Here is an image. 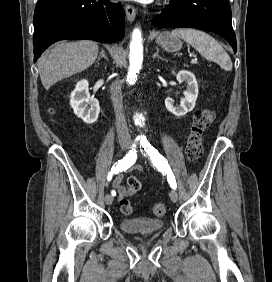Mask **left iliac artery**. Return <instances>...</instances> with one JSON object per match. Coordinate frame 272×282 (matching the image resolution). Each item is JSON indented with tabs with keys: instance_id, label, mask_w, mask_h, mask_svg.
<instances>
[{
	"instance_id": "obj_1",
	"label": "left iliac artery",
	"mask_w": 272,
	"mask_h": 282,
	"mask_svg": "<svg viewBox=\"0 0 272 282\" xmlns=\"http://www.w3.org/2000/svg\"><path fill=\"white\" fill-rule=\"evenodd\" d=\"M141 146L143 150L149 155L153 165L161 172L165 173L167 175V180L172 189H176V180L174 177V174L172 173V170L168 164V162L165 160V158L158 152L157 149H155L147 139L142 138Z\"/></svg>"
}]
</instances>
